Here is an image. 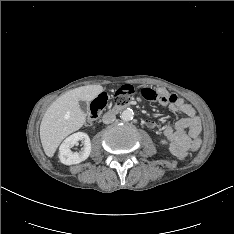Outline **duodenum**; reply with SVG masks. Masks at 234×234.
Segmentation results:
<instances>
[{"label": "duodenum", "mask_w": 234, "mask_h": 234, "mask_svg": "<svg viewBox=\"0 0 234 234\" xmlns=\"http://www.w3.org/2000/svg\"><path fill=\"white\" fill-rule=\"evenodd\" d=\"M132 104L131 103H125V104H115L113 105V107L110 109L111 113L117 114L120 111H122L123 109H126L128 107H130Z\"/></svg>", "instance_id": "410a0bca"}]
</instances>
